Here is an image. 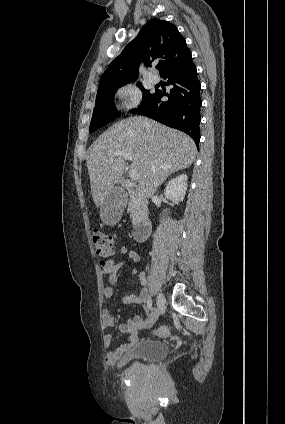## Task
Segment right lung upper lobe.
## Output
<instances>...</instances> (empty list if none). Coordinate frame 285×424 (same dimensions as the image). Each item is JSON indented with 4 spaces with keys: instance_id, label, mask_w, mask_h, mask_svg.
Masks as SVG:
<instances>
[{
    "instance_id": "obj_1",
    "label": "right lung upper lobe",
    "mask_w": 285,
    "mask_h": 424,
    "mask_svg": "<svg viewBox=\"0 0 285 424\" xmlns=\"http://www.w3.org/2000/svg\"><path fill=\"white\" fill-rule=\"evenodd\" d=\"M191 58V52L178 29L165 20L152 19L108 66L99 88L133 82L138 78L139 64L151 66L159 59L160 75L175 69Z\"/></svg>"
}]
</instances>
